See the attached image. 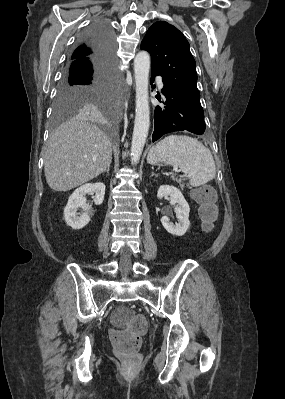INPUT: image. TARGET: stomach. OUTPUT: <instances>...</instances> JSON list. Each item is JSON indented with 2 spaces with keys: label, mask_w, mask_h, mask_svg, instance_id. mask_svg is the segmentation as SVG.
Wrapping results in <instances>:
<instances>
[{
  "label": "stomach",
  "mask_w": 285,
  "mask_h": 399,
  "mask_svg": "<svg viewBox=\"0 0 285 399\" xmlns=\"http://www.w3.org/2000/svg\"><path fill=\"white\" fill-rule=\"evenodd\" d=\"M159 159V154L154 149L149 152L147 157L148 163L155 165L158 163Z\"/></svg>",
  "instance_id": "stomach-1"
}]
</instances>
